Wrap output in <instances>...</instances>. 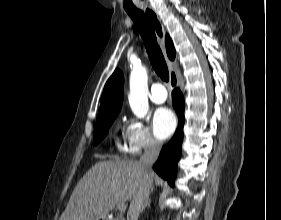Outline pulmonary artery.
Returning a JSON list of instances; mask_svg holds the SVG:
<instances>
[{
  "instance_id": "1",
  "label": "pulmonary artery",
  "mask_w": 281,
  "mask_h": 220,
  "mask_svg": "<svg viewBox=\"0 0 281 220\" xmlns=\"http://www.w3.org/2000/svg\"><path fill=\"white\" fill-rule=\"evenodd\" d=\"M152 102L156 104L163 103L167 98V92L163 85L160 83H154L151 86V91L149 95Z\"/></svg>"
}]
</instances>
